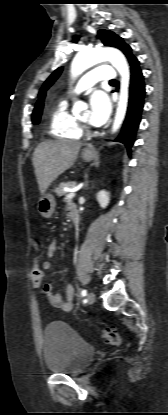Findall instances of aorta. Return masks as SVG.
I'll list each match as a JSON object with an SVG mask.
<instances>
[{
  "label": "aorta",
  "instance_id": "aorta-1",
  "mask_svg": "<svg viewBox=\"0 0 168 415\" xmlns=\"http://www.w3.org/2000/svg\"><path fill=\"white\" fill-rule=\"evenodd\" d=\"M101 61H109L117 69L121 77L119 101L112 125V132L114 133L120 128L128 105L130 71L125 56L118 49L112 47L82 50L76 54L72 61L71 74L73 77H76Z\"/></svg>",
  "mask_w": 168,
  "mask_h": 415
}]
</instances>
